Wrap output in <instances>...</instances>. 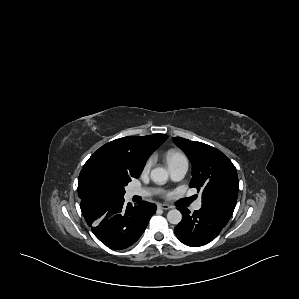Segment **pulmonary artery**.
<instances>
[{
    "label": "pulmonary artery",
    "instance_id": "e3ab8cb5",
    "mask_svg": "<svg viewBox=\"0 0 299 299\" xmlns=\"http://www.w3.org/2000/svg\"><path fill=\"white\" fill-rule=\"evenodd\" d=\"M169 170H170V174L173 180L178 181L181 180L187 170H188V163L187 162H180L174 165L169 166ZM153 192L151 190L148 189H133L131 191V195H138V196H149L151 195ZM201 201L198 200L196 201L193 206H192V210L197 211L201 208Z\"/></svg>",
    "mask_w": 299,
    "mask_h": 299
}]
</instances>
